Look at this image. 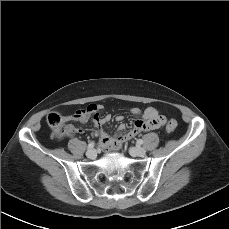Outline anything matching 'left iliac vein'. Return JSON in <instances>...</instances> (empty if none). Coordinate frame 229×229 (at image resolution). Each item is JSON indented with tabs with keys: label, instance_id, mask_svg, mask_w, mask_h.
Returning <instances> with one entry per match:
<instances>
[{
	"label": "left iliac vein",
	"instance_id": "obj_1",
	"mask_svg": "<svg viewBox=\"0 0 229 229\" xmlns=\"http://www.w3.org/2000/svg\"><path fill=\"white\" fill-rule=\"evenodd\" d=\"M130 154L133 156L143 157L146 154V150L142 147H131Z\"/></svg>",
	"mask_w": 229,
	"mask_h": 229
}]
</instances>
